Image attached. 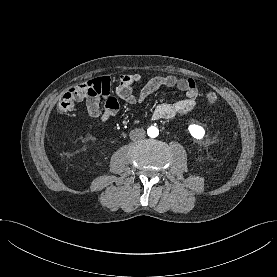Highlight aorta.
Returning <instances> with one entry per match:
<instances>
[{
    "label": "aorta",
    "mask_w": 277,
    "mask_h": 277,
    "mask_svg": "<svg viewBox=\"0 0 277 277\" xmlns=\"http://www.w3.org/2000/svg\"><path fill=\"white\" fill-rule=\"evenodd\" d=\"M147 133H148L149 137L155 138V137L158 136L159 130H158L157 127L151 126V127L148 128Z\"/></svg>",
    "instance_id": "aorta-1"
}]
</instances>
